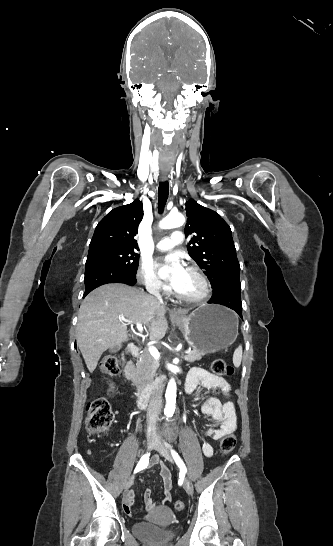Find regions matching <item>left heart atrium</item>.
<instances>
[{
	"mask_svg": "<svg viewBox=\"0 0 333 546\" xmlns=\"http://www.w3.org/2000/svg\"><path fill=\"white\" fill-rule=\"evenodd\" d=\"M160 267H166L170 271L169 283L173 289L179 291L185 284L188 270L182 260L175 254L162 258Z\"/></svg>",
	"mask_w": 333,
	"mask_h": 546,
	"instance_id": "obj_1",
	"label": "left heart atrium"
}]
</instances>
